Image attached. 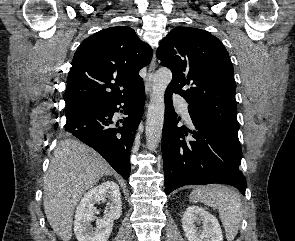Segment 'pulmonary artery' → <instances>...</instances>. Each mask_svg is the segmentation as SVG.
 <instances>
[{"label":"pulmonary artery","instance_id":"e3ab8cb5","mask_svg":"<svg viewBox=\"0 0 295 241\" xmlns=\"http://www.w3.org/2000/svg\"><path fill=\"white\" fill-rule=\"evenodd\" d=\"M173 100H174L175 105L178 107V109L180 110L181 114L183 115L184 119L187 122H190L191 121V118H190L189 111H188V102L186 100H184L178 94H174Z\"/></svg>","mask_w":295,"mask_h":241}]
</instances>
